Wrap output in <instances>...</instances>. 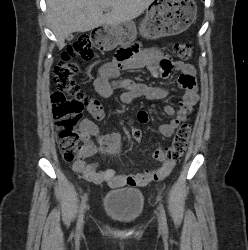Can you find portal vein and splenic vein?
I'll return each instance as SVG.
<instances>
[{"label": "portal vein and splenic vein", "instance_id": "1", "mask_svg": "<svg viewBox=\"0 0 248 250\" xmlns=\"http://www.w3.org/2000/svg\"><path fill=\"white\" fill-rule=\"evenodd\" d=\"M105 12H107V14L109 13V10H105Z\"/></svg>", "mask_w": 248, "mask_h": 250}]
</instances>
